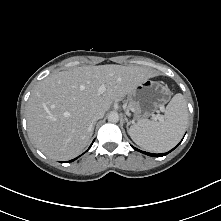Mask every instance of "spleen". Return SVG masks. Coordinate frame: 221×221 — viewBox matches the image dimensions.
I'll return each mask as SVG.
<instances>
[{"label": "spleen", "instance_id": "spleen-1", "mask_svg": "<svg viewBox=\"0 0 221 221\" xmlns=\"http://www.w3.org/2000/svg\"><path fill=\"white\" fill-rule=\"evenodd\" d=\"M188 121V110L182 94H176L159 121L140 119L128 133L141 148L162 153L173 148L182 138Z\"/></svg>", "mask_w": 221, "mask_h": 221}]
</instances>
